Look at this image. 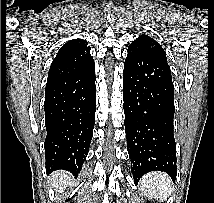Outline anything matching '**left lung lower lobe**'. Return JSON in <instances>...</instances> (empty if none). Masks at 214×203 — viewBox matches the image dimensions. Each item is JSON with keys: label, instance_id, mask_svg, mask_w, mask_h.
Here are the masks:
<instances>
[{"label": "left lung lower lobe", "instance_id": "left-lung-lower-lobe-1", "mask_svg": "<svg viewBox=\"0 0 214 203\" xmlns=\"http://www.w3.org/2000/svg\"><path fill=\"white\" fill-rule=\"evenodd\" d=\"M127 149L135 183L147 172L164 171L175 181L174 85L167 62L128 50L123 71Z\"/></svg>", "mask_w": 214, "mask_h": 203}]
</instances>
